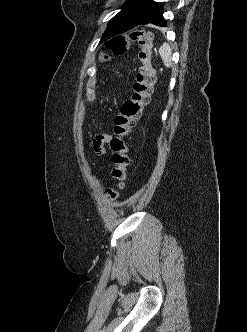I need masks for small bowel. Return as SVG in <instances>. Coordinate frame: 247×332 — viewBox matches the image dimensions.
<instances>
[{"instance_id": "c3829d8e", "label": "small bowel", "mask_w": 247, "mask_h": 332, "mask_svg": "<svg viewBox=\"0 0 247 332\" xmlns=\"http://www.w3.org/2000/svg\"><path fill=\"white\" fill-rule=\"evenodd\" d=\"M112 138L113 137L107 133L97 134L93 140V148L96 154L104 155L106 153L104 144L110 142Z\"/></svg>"}]
</instances>
